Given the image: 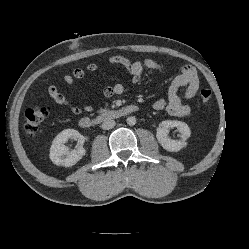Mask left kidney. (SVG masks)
Returning a JSON list of instances; mask_svg holds the SVG:
<instances>
[{
  "instance_id": "left-kidney-1",
  "label": "left kidney",
  "mask_w": 249,
  "mask_h": 249,
  "mask_svg": "<svg viewBox=\"0 0 249 249\" xmlns=\"http://www.w3.org/2000/svg\"><path fill=\"white\" fill-rule=\"evenodd\" d=\"M176 127L180 132V140L171 139L168 137L169 129ZM191 131L188 125L182 121L166 120L162 121L158 128L156 137L160 145L167 151L177 152L183 147H186V140L190 137Z\"/></svg>"
}]
</instances>
